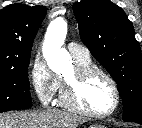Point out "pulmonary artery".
I'll return each instance as SVG.
<instances>
[{
	"mask_svg": "<svg viewBox=\"0 0 142 128\" xmlns=\"http://www.w3.org/2000/svg\"><path fill=\"white\" fill-rule=\"evenodd\" d=\"M67 49L75 60L85 61L90 59L89 50L80 44L70 42L67 45Z\"/></svg>",
	"mask_w": 142,
	"mask_h": 128,
	"instance_id": "1",
	"label": "pulmonary artery"
}]
</instances>
